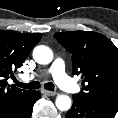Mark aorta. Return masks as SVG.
I'll list each match as a JSON object with an SVG mask.
<instances>
[{
  "label": "aorta",
  "mask_w": 118,
  "mask_h": 118,
  "mask_svg": "<svg viewBox=\"0 0 118 118\" xmlns=\"http://www.w3.org/2000/svg\"><path fill=\"white\" fill-rule=\"evenodd\" d=\"M33 59L38 64L47 65L53 60V52L45 45L36 46L33 49ZM55 105L60 111H68L72 106V101L68 95L60 94L56 97Z\"/></svg>",
  "instance_id": "obj_1"
}]
</instances>
